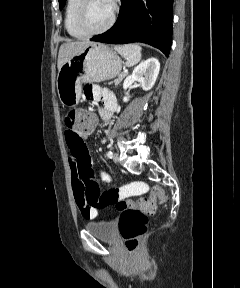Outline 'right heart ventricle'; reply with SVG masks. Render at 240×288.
Masks as SVG:
<instances>
[{
	"label": "right heart ventricle",
	"mask_w": 240,
	"mask_h": 288,
	"mask_svg": "<svg viewBox=\"0 0 240 288\" xmlns=\"http://www.w3.org/2000/svg\"><path fill=\"white\" fill-rule=\"evenodd\" d=\"M81 0H67L65 7L64 24L67 33L76 39L85 38L87 35L83 33L76 24V13Z\"/></svg>",
	"instance_id": "right-heart-ventricle-1"
}]
</instances>
